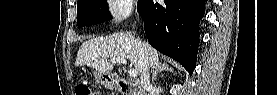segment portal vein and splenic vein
Masks as SVG:
<instances>
[{
    "label": "portal vein and splenic vein",
    "mask_w": 277,
    "mask_h": 95,
    "mask_svg": "<svg viewBox=\"0 0 277 95\" xmlns=\"http://www.w3.org/2000/svg\"><path fill=\"white\" fill-rule=\"evenodd\" d=\"M111 62L112 63H119V64L120 63H122V64H126L127 63L126 59H124V58H117V57L111 58ZM128 74H129V76L131 78H135L138 75V71L136 69H130L128 71Z\"/></svg>",
    "instance_id": "1"
}]
</instances>
